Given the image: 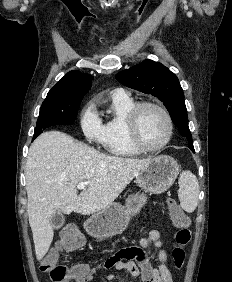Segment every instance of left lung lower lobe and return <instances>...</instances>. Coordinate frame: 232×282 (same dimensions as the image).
Wrapping results in <instances>:
<instances>
[{
  "label": "left lung lower lobe",
  "mask_w": 232,
  "mask_h": 282,
  "mask_svg": "<svg viewBox=\"0 0 232 282\" xmlns=\"http://www.w3.org/2000/svg\"><path fill=\"white\" fill-rule=\"evenodd\" d=\"M189 148L192 150V152H195L193 146H190Z\"/></svg>",
  "instance_id": "0a47b994"
}]
</instances>
